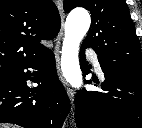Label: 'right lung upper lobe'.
<instances>
[{
  "mask_svg": "<svg viewBox=\"0 0 142 128\" xmlns=\"http://www.w3.org/2000/svg\"><path fill=\"white\" fill-rule=\"evenodd\" d=\"M60 16L51 0H0V80L41 56L53 39Z\"/></svg>",
  "mask_w": 142,
  "mask_h": 128,
  "instance_id": "obj_1",
  "label": "right lung upper lobe"
}]
</instances>
